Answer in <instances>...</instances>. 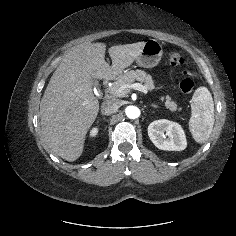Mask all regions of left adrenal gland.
<instances>
[{"label":"left adrenal gland","instance_id":"left-adrenal-gland-1","mask_svg":"<svg viewBox=\"0 0 236 236\" xmlns=\"http://www.w3.org/2000/svg\"><path fill=\"white\" fill-rule=\"evenodd\" d=\"M150 106H151V107H154V108H158V106H157V105H154V104H151Z\"/></svg>","mask_w":236,"mask_h":236}]
</instances>
